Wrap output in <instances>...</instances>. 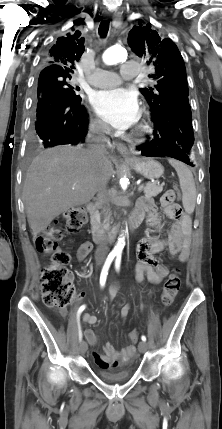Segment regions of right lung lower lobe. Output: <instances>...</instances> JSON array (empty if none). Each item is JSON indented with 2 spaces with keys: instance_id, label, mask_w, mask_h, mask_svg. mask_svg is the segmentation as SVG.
Here are the masks:
<instances>
[{
  "instance_id": "right-lung-lower-lobe-1",
  "label": "right lung lower lobe",
  "mask_w": 222,
  "mask_h": 429,
  "mask_svg": "<svg viewBox=\"0 0 222 429\" xmlns=\"http://www.w3.org/2000/svg\"><path fill=\"white\" fill-rule=\"evenodd\" d=\"M87 127L81 99L56 87L46 88L37 98L35 130L45 148L83 142Z\"/></svg>"
}]
</instances>
